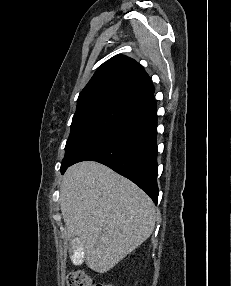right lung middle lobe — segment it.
<instances>
[{"mask_svg":"<svg viewBox=\"0 0 231 286\" xmlns=\"http://www.w3.org/2000/svg\"><path fill=\"white\" fill-rule=\"evenodd\" d=\"M134 113L133 109L112 102L94 104L77 110L72 120L61 169L116 125L132 117Z\"/></svg>","mask_w":231,"mask_h":286,"instance_id":"dd1d6c3e","label":"right lung middle lobe"}]
</instances>
